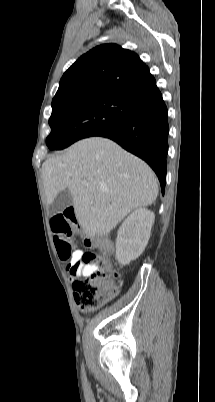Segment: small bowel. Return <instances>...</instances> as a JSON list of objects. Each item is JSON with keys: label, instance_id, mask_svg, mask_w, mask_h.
Masks as SVG:
<instances>
[{"label": "small bowel", "instance_id": "1", "mask_svg": "<svg viewBox=\"0 0 215 402\" xmlns=\"http://www.w3.org/2000/svg\"><path fill=\"white\" fill-rule=\"evenodd\" d=\"M80 255H81L80 251L74 252L67 266V271L73 286L76 280L81 279L82 277L90 276L91 273L95 270L94 265H87V266L82 265L76 269H73V265Z\"/></svg>", "mask_w": 215, "mask_h": 402}]
</instances>
